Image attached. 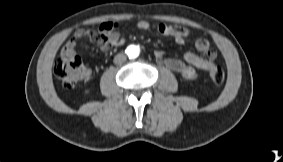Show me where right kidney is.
<instances>
[{"label":"right kidney","instance_id":"ca27d5eb","mask_svg":"<svg viewBox=\"0 0 283 162\" xmlns=\"http://www.w3.org/2000/svg\"><path fill=\"white\" fill-rule=\"evenodd\" d=\"M88 92H89L88 90L85 91V93H88Z\"/></svg>","mask_w":283,"mask_h":162}]
</instances>
